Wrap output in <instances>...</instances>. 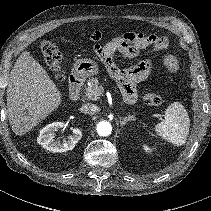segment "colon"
<instances>
[{
  "instance_id": "1",
  "label": "colon",
  "mask_w": 211,
  "mask_h": 211,
  "mask_svg": "<svg viewBox=\"0 0 211 211\" xmlns=\"http://www.w3.org/2000/svg\"><path fill=\"white\" fill-rule=\"evenodd\" d=\"M99 39H93V51L100 61L108 68L111 69L115 66L114 55L117 51L125 56L136 55L139 50L147 45H152L155 50L163 51L167 49L169 42L168 39L156 35H145L142 33L134 32L130 36L121 35L117 37L109 46H102ZM41 52L49 68L56 73L58 80L60 77V68L62 61V54L59 46L51 41H43L40 45ZM164 64L170 73H175L178 69L177 61L172 56H165ZM144 101L150 106H159L162 104V98L159 94L150 92L144 96Z\"/></svg>"
}]
</instances>
